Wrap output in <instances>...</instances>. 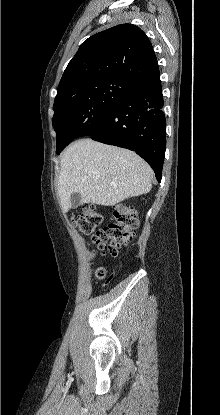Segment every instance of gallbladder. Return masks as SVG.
Masks as SVG:
<instances>
[{"mask_svg": "<svg viewBox=\"0 0 220 415\" xmlns=\"http://www.w3.org/2000/svg\"><path fill=\"white\" fill-rule=\"evenodd\" d=\"M81 202V197L78 193L71 194L72 208H77Z\"/></svg>", "mask_w": 220, "mask_h": 415, "instance_id": "bac80fb5", "label": "gallbladder"}]
</instances>
